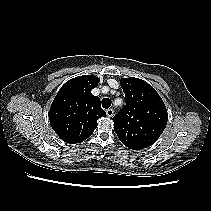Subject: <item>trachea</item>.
Listing matches in <instances>:
<instances>
[{
    "instance_id": "1",
    "label": "trachea",
    "mask_w": 211,
    "mask_h": 211,
    "mask_svg": "<svg viewBox=\"0 0 211 211\" xmlns=\"http://www.w3.org/2000/svg\"><path fill=\"white\" fill-rule=\"evenodd\" d=\"M102 106L105 109H108L111 106V100L109 98H104L102 100Z\"/></svg>"
}]
</instances>
